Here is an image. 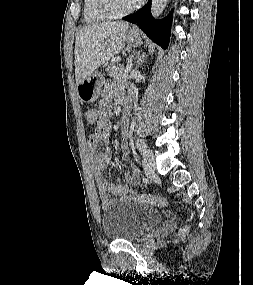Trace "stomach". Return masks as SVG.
Returning a JSON list of instances; mask_svg holds the SVG:
<instances>
[{"label": "stomach", "mask_w": 253, "mask_h": 285, "mask_svg": "<svg viewBox=\"0 0 253 285\" xmlns=\"http://www.w3.org/2000/svg\"><path fill=\"white\" fill-rule=\"evenodd\" d=\"M128 47H138L142 44V38L137 30H129L126 33ZM104 83L103 76L98 72H93L82 83L77 85V95L80 101L91 103L98 99L101 87Z\"/></svg>", "instance_id": "obj_1"}]
</instances>
